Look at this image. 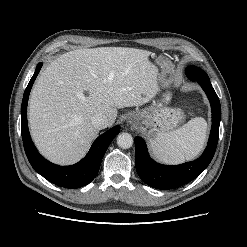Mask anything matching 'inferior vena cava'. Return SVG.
<instances>
[{
	"label": "inferior vena cava",
	"instance_id": "1",
	"mask_svg": "<svg viewBox=\"0 0 247 247\" xmlns=\"http://www.w3.org/2000/svg\"><path fill=\"white\" fill-rule=\"evenodd\" d=\"M91 124L93 125V127L100 130L108 127L109 122L105 115L97 114L92 118Z\"/></svg>",
	"mask_w": 247,
	"mask_h": 247
}]
</instances>
